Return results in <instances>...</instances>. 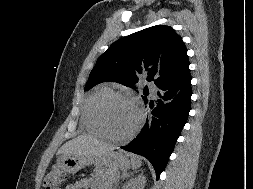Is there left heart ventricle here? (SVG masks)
<instances>
[{
    "label": "left heart ventricle",
    "mask_w": 253,
    "mask_h": 189,
    "mask_svg": "<svg viewBox=\"0 0 253 189\" xmlns=\"http://www.w3.org/2000/svg\"><path fill=\"white\" fill-rule=\"evenodd\" d=\"M104 119L112 134L124 136L135 126L137 111L128 103L112 101L104 109Z\"/></svg>",
    "instance_id": "obj_1"
}]
</instances>
